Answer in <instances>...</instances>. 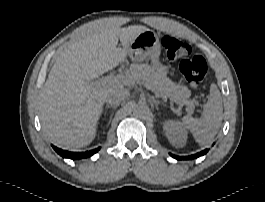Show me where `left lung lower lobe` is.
<instances>
[{
  "mask_svg": "<svg viewBox=\"0 0 265 202\" xmlns=\"http://www.w3.org/2000/svg\"><path fill=\"white\" fill-rule=\"evenodd\" d=\"M208 152V150H203L202 152H199L197 154L191 155V156H176L173 154H170L173 158L177 159V160H189V159H195L198 158L199 156H203L204 154H206Z\"/></svg>",
  "mask_w": 265,
  "mask_h": 202,
  "instance_id": "left-lung-lower-lobe-1",
  "label": "left lung lower lobe"
}]
</instances>
